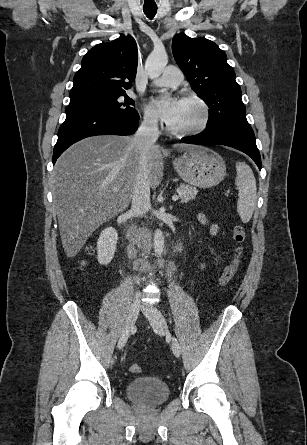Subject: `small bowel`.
Here are the masks:
<instances>
[{
    "instance_id": "c3829d8e",
    "label": "small bowel",
    "mask_w": 307,
    "mask_h": 445,
    "mask_svg": "<svg viewBox=\"0 0 307 445\" xmlns=\"http://www.w3.org/2000/svg\"><path fill=\"white\" fill-rule=\"evenodd\" d=\"M199 220H200L202 223H204V224L207 223V220H206V218H205L203 215H200V216H199ZM216 232H217V226L214 225V224L210 225V233H211L212 235H214V234H216Z\"/></svg>"
}]
</instances>
